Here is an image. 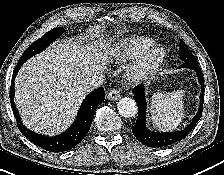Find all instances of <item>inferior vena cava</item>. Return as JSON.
<instances>
[{"label": "inferior vena cava", "mask_w": 224, "mask_h": 175, "mask_svg": "<svg viewBox=\"0 0 224 175\" xmlns=\"http://www.w3.org/2000/svg\"><path fill=\"white\" fill-rule=\"evenodd\" d=\"M104 81V75L103 74H94L93 76H91L85 84L82 85V88L84 90H86L87 92L98 88L99 86H101L103 84Z\"/></svg>", "instance_id": "1"}]
</instances>
